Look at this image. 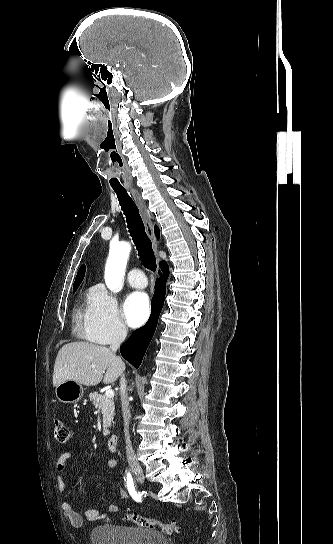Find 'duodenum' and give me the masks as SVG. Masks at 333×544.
Segmentation results:
<instances>
[{"label": "duodenum", "mask_w": 333, "mask_h": 544, "mask_svg": "<svg viewBox=\"0 0 333 544\" xmlns=\"http://www.w3.org/2000/svg\"><path fill=\"white\" fill-rule=\"evenodd\" d=\"M118 437L116 435H111L107 442V447L110 452H116L118 450Z\"/></svg>", "instance_id": "obj_1"}]
</instances>
